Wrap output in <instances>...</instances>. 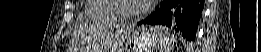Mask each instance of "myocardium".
<instances>
[{
	"instance_id": "1",
	"label": "myocardium",
	"mask_w": 261,
	"mask_h": 52,
	"mask_svg": "<svg viewBox=\"0 0 261 52\" xmlns=\"http://www.w3.org/2000/svg\"><path fill=\"white\" fill-rule=\"evenodd\" d=\"M122 1H128V0H117L114 3L115 14L120 19L121 22L136 21V20L140 19L141 17H143L147 11L146 6L142 3H140L136 13H134L132 15H125V14L121 13L119 10V5H120V2H122Z\"/></svg>"
}]
</instances>
